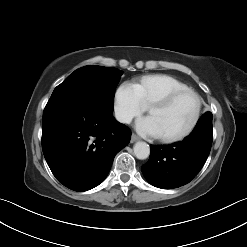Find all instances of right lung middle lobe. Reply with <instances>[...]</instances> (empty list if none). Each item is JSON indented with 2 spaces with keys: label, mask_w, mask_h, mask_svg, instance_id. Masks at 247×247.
I'll return each instance as SVG.
<instances>
[{
  "label": "right lung middle lobe",
  "mask_w": 247,
  "mask_h": 247,
  "mask_svg": "<svg viewBox=\"0 0 247 247\" xmlns=\"http://www.w3.org/2000/svg\"><path fill=\"white\" fill-rule=\"evenodd\" d=\"M123 74L112 67L84 66L75 70L53 91L51 100L83 97L101 100L113 107L114 90Z\"/></svg>",
  "instance_id": "1"
}]
</instances>
